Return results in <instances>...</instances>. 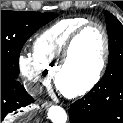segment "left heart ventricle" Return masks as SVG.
I'll list each match as a JSON object with an SVG mask.
<instances>
[{
    "label": "left heart ventricle",
    "mask_w": 123,
    "mask_h": 123,
    "mask_svg": "<svg viewBox=\"0 0 123 123\" xmlns=\"http://www.w3.org/2000/svg\"><path fill=\"white\" fill-rule=\"evenodd\" d=\"M102 52V33L92 26L75 42L70 61L61 75L62 86L73 89L88 82L97 70Z\"/></svg>",
    "instance_id": "b2bd125f"
}]
</instances>
